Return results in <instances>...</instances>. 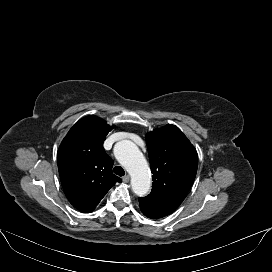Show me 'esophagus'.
I'll return each mask as SVG.
<instances>
[{"instance_id": "esophagus-1", "label": "esophagus", "mask_w": 272, "mask_h": 272, "mask_svg": "<svg viewBox=\"0 0 272 272\" xmlns=\"http://www.w3.org/2000/svg\"><path fill=\"white\" fill-rule=\"evenodd\" d=\"M130 181V176L129 175H125L124 177H123V182L124 183H128Z\"/></svg>"}]
</instances>
